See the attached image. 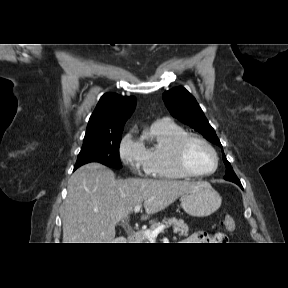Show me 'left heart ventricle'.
<instances>
[{
    "label": "left heart ventricle",
    "mask_w": 288,
    "mask_h": 288,
    "mask_svg": "<svg viewBox=\"0 0 288 288\" xmlns=\"http://www.w3.org/2000/svg\"><path fill=\"white\" fill-rule=\"evenodd\" d=\"M186 162L191 169L201 173L210 172L215 166L213 154L198 142H191L187 147Z\"/></svg>",
    "instance_id": "obj_1"
}]
</instances>
